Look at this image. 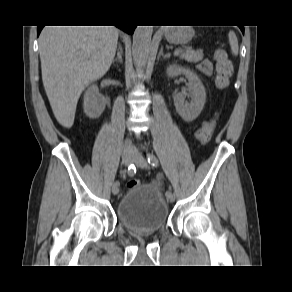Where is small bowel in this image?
I'll list each match as a JSON object with an SVG mask.
<instances>
[{
  "mask_svg": "<svg viewBox=\"0 0 292 292\" xmlns=\"http://www.w3.org/2000/svg\"><path fill=\"white\" fill-rule=\"evenodd\" d=\"M198 69L205 75L210 76L213 72V65L212 63L205 59L202 60L199 64H198Z\"/></svg>",
  "mask_w": 292,
  "mask_h": 292,
  "instance_id": "small-bowel-1",
  "label": "small bowel"
}]
</instances>
